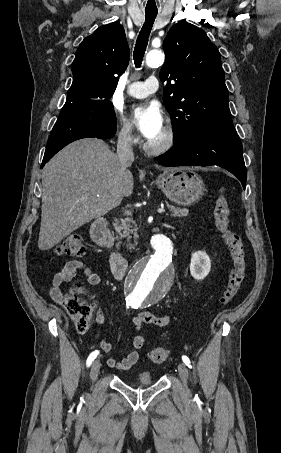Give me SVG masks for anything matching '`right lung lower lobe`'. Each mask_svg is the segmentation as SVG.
<instances>
[{"mask_svg": "<svg viewBox=\"0 0 281 453\" xmlns=\"http://www.w3.org/2000/svg\"><path fill=\"white\" fill-rule=\"evenodd\" d=\"M116 132V117L110 101L65 103L49 136L41 168L67 144L88 137L106 139Z\"/></svg>", "mask_w": 281, "mask_h": 453, "instance_id": "obj_1", "label": "right lung lower lobe"}]
</instances>
